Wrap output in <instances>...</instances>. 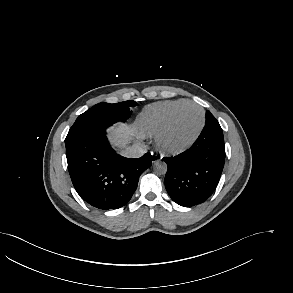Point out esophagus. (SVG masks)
I'll list each match as a JSON object with an SVG mask.
<instances>
[{
  "label": "esophagus",
  "mask_w": 293,
  "mask_h": 293,
  "mask_svg": "<svg viewBox=\"0 0 293 293\" xmlns=\"http://www.w3.org/2000/svg\"><path fill=\"white\" fill-rule=\"evenodd\" d=\"M161 156L157 153H152L151 154V162L154 164L156 162H159L161 160Z\"/></svg>",
  "instance_id": "esophagus-1"
}]
</instances>
